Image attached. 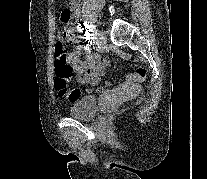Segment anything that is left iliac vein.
<instances>
[{
	"instance_id": "obj_1",
	"label": "left iliac vein",
	"mask_w": 207,
	"mask_h": 179,
	"mask_svg": "<svg viewBox=\"0 0 207 179\" xmlns=\"http://www.w3.org/2000/svg\"><path fill=\"white\" fill-rule=\"evenodd\" d=\"M106 42H107L106 33L103 31H99L98 36H97V40H96L97 45L104 46L106 44Z\"/></svg>"
}]
</instances>
